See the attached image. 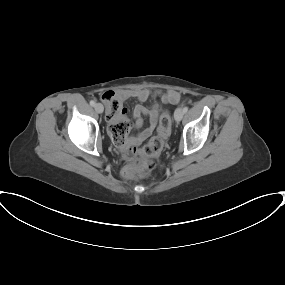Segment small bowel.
I'll return each instance as SVG.
<instances>
[{"label": "small bowel", "instance_id": "1", "mask_svg": "<svg viewBox=\"0 0 285 285\" xmlns=\"http://www.w3.org/2000/svg\"><path fill=\"white\" fill-rule=\"evenodd\" d=\"M108 94H111L119 101L134 98L140 102L147 101L153 95L148 89L121 90L117 92H108ZM156 96L157 100L151 107H145L144 105L138 104L133 108L132 118L134 120V126L136 128H140L143 124V117H148L149 126L140 131L138 134L128 137L125 144L122 145L124 148H129L131 146L140 144L148 139L154 132L162 105L177 104L180 101V93L175 90L157 92ZM106 118L110 125L119 121H127L126 109L121 106L120 111L117 114H112L109 112V110H106Z\"/></svg>", "mask_w": 285, "mask_h": 285}]
</instances>
